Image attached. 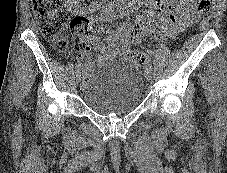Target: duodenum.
Returning <instances> with one entry per match:
<instances>
[{"label": "duodenum", "mask_w": 227, "mask_h": 173, "mask_svg": "<svg viewBox=\"0 0 227 173\" xmlns=\"http://www.w3.org/2000/svg\"><path fill=\"white\" fill-rule=\"evenodd\" d=\"M133 0H123L120 4H106L102 8V14L105 19L110 20L123 12L125 7H128Z\"/></svg>", "instance_id": "duodenum-1"}]
</instances>
